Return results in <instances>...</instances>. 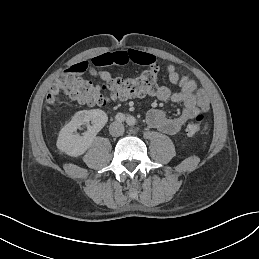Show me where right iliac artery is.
Wrapping results in <instances>:
<instances>
[{"instance_id":"right-iliac-artery-1","label":"right iliac artery","mask_w":259,"mask_h":259,"mask_svg":"<svg viewBox=\"0 0 259 259\" xmlns=\"http://www.w3.org/2000/svg\"><path fill=\"white\" fill-rule=\"evenodd\" d=\"M115 119L118 122H124L126 120V117L123 113H118V114H116Z\"/></svg>"}]
</instances>
